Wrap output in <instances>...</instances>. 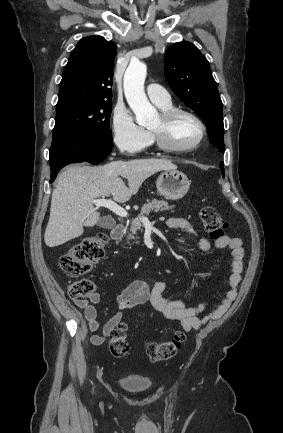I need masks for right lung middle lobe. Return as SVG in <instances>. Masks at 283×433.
Segmentation results:
<instances>
[{
	"label": "right lung middle lobe",
	"mask_w": 283,
	"mask_h": 433,
	"mask_svg": "<svg viewBox=\"0 0 283 433\" xmlns=\"http://www.w3.org/2000/svg\"><path fill=\"white\" fill-rule=\"evenodd\" d=\"M111 104L112 101H96L57 110L53 137L80 135L112 142L109 129Z\"/></svg>",
	"instance_id": "obj_1"
}]
</instances>
